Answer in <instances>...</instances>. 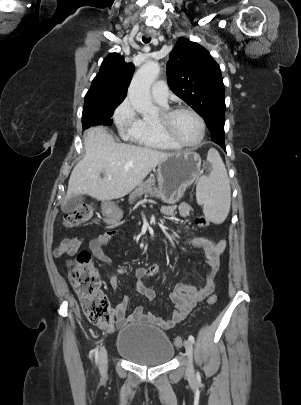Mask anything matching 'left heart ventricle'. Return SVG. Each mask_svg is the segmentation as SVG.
<instances>
[{
    "label": "left heart ventricle",
    "mask_w": 301,
    "mask_h": 405,
    "mask_svg": "<svg viewBox=\"0 0 301 405\" xmlns=\"http://www.w3.org/2000/svg\"><path fill=\"white\" fill-rule=\"evenodd\" d=\"M171 130L180 140L186 143L195 142L200 135L199 122L189 112L176 114L171 122Z\"/></svg>",
    "instance_id": "left-heart-ventricle-1"
}]
</instances>
